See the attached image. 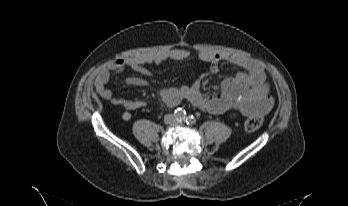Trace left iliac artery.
<instances>
[{
    "label": "left iliac artery",
    "instance_id": "44dca946",
    "mask_svg": "<svg viewBox=\"0 0 348 206\" xmlns=\"http://www.w3.org/2000/svg\"><path fill=\"white\" fill-rule=\"evenodd\" d=\"M185 121H186L187 125L192 126L196 123V118L193 115H189V116H187Z\"/></svg>",
    "mask_w": 348,
    "mask_h": 206
}]
</instances>
